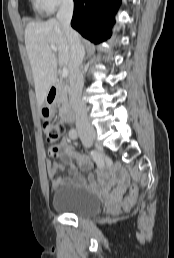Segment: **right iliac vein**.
<instances>
[{
	"instance_id": "obj_1",
	"label": "right iliac vein",
	"mask_w": 174,
	"mask_h": 258,
	"mask_svg": "<svg viewBox=\"0 0 174 258\" xmlns=\"http://www.w3.org/2000/svg\"><path fill=\"white\" fill-rule=\"evenodd\" d=\"M84 137L91 142L96 141V133L94 131L87 133ZM99 149L101 150V147Z\"/></svg>"
}]
</instances>
